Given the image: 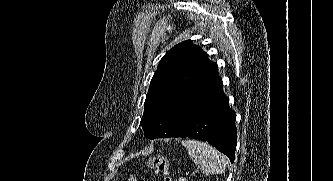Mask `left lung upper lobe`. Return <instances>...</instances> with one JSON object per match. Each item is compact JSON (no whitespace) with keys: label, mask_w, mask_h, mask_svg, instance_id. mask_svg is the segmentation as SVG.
I'll return each mask as SVG.
<instances>
[{"label":"left lung upper lobe","mask_w":333,"mask_h":181,"mask_svg":"<svg viewBox=\"0 0 333 181\" xmlns=\"http://www.w3.org/2000/svg\"><path fill=\"white\" fill-rule=\"evenodd\" d=\"M217 63L191 40L162 57L151 80L140 125L149 139L172 137L211 98L222 79Z\"/></svg>","instance_id":"1"}]
</instances>
